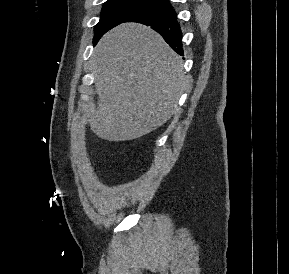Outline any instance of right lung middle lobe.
<instances>
[{"mask_svg":"<svg viewBox=\"0 0 289 274\" xmlns=\"http://www.w3.org/2000/svg\"><path fill=\"white\" fill-rule=\"evenodd\" d=\"M162 2L163 0H108L103 6L100 21L95 26L94 44L108 30Z\"/></svg>","mask_w":289,"mask_h":274,"instance_id":"dd1d6c3e","label":"right lung middle lobe"}]
</instances>
